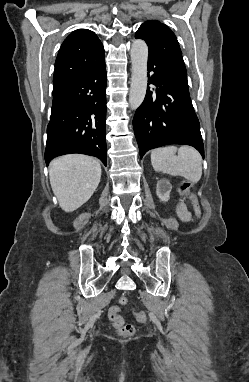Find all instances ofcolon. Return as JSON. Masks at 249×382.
Masks as SVG:
<instances>
[{
    "instance_id": "colon-1",
    "label": "colon",
    "mask_w": 249,
    "mask_h": 382,
    "mask_svg": "<svg viewBox=\"0 0 249 382\" xmlns=\"http://www.w3.org/2000/svg\"><path fill=\"white\" fill-rule=\"evenodd\" d=\"M189 187V183L183 182L181 183L179 190L181 192H185ZM120 304L126 305L128 304V298L126 296H122L120 298ZM109 318L112 321L113 325L118 329L120 335L124 337H130L135 333V327L132 324H124L123 320L120 316V309L118 307H112L109 310ZM136 319L140 323H145L147 321L146 314L144 312H137Z\"/></svg>"
}]
</instances>
